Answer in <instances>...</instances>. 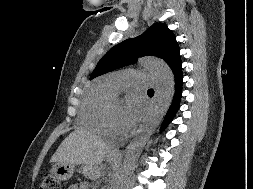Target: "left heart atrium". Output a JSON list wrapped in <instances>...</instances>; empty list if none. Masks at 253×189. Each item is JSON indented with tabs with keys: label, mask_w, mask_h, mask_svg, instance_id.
<instances>
[{
	"label": "left heart atrium",
	"mask_w": 253,
	"mask_h": 189,
	"mask_svg": "<svg viewBox=\"0 0 253 189\" xmlns=\"http://www.w3.org/2000/svg\"><path fill=\"white\" fill-rule=\"evenodd\" d=\"M141 114V104L139 99L131 95L126 100L122 110L121 121L125 129H128L136 124Z\"/></svg>",
	"instance_id": "1"
}]
</instances>
